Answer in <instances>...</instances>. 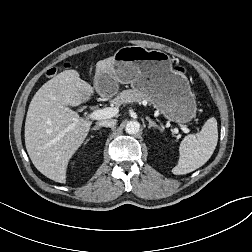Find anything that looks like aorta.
Listing matches in <instances>:
<instances>
[{"label":"aorta","instance_id":"1","mask_svg":"<svg viewBox=\"0 0 252 252\" xmlns=\"http://www.w3.org/2000/svg\"><path fill=\"white\" fill-rule=\"evenodd\" d=\"M140 130V124L138 121H129L126 124L125 131L128 134H136Z\"/></svg>","mask_w":252,"mask_h":252}]
</instances>
